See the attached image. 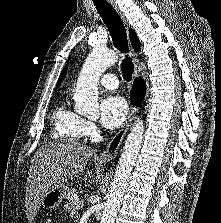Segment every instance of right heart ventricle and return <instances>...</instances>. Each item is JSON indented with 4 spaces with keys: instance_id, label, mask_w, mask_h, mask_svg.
Listing matches in <instances>:
<instances>
[{
    "instance_id": "obj_1",
    "label": "right heart ventricle",
    "mask_w": 221,
    "mask_h": 223,
    "mask_svg": "<svg viewBox=\"0 0 221 223\" xmlns=\"http://www.w3.org/2000/svg\"><path fill=\"white\" fill-rule=\"evenodd\" d=\"M82 125L83 119L62 103L51 117L52 137L58 141H79L84 136Z\"/></svg>"
}]
</instances>
